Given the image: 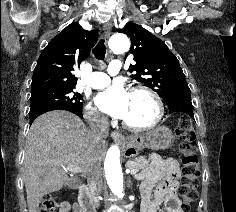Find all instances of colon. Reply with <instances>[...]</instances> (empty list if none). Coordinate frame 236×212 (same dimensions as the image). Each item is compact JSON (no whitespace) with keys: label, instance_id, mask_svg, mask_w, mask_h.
<instances>
[{"label":"colon","instance_id":"obj_1","mask_svg":"<svg viewBox=\"0 0 236 212\" xmlns=\"http://www.w3.org/2000/svg\"><path fill=\"white\" fill-rule=\"evenodd\" d=\"M177 135L181 139L179 152L182 157L183 177L181 181L180 194L185 200L184 212L190 211V203L198 198V179L200 176L199 159L194 153L196 136L192 129L191 119L182 117L177 128ZM59 204L55 197L46 195L38 212H57Z\"/></svg>","mask_w":236,"mask_h":212}]
</instances>
